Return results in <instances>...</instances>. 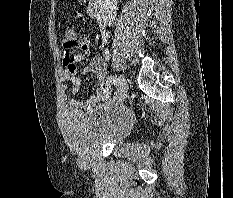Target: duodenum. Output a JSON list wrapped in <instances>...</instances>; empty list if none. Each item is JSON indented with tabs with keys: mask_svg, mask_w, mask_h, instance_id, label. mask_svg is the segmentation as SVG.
<instances>
[{
	"mask_svg": "<svg viewBox=\"0 0 233 198\" xmlns=\"http://www.w3.org/2000/svg\"><path fill=\"white\" fill-rule=\"evenodd\" d=\"M87 12L90 17L103 21L102 0H89Z\"/></svg>",
	"mask_w": 233,
	"mask_h": 198,
	"instance_id": "410a0bca",
	"label": "duodenum"
}]
</instances>
